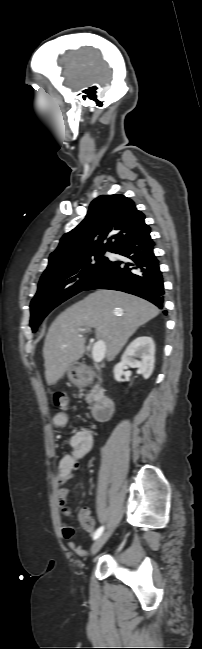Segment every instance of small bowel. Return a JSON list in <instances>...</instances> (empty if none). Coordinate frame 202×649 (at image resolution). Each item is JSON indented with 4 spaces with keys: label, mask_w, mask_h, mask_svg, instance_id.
I'll return each instance as SVG.
<instances>
[{
    "label": "small bowel",
    "mask_w": 202,
    "mask_h": 649,
    "mask_svg": "<svg viewBox=\"0 0 202 649\" xmlns=\"http://www.w3.org/2000/svg\"><path fill=\"white\" fill-rule=\"evenodd\" d=\"M53 426L61 429L69 424V416L65 412H58L53 417ZM93 446V435L88 430L77 431L69 440V450L60 460L58 465L57 482L60 486L65 485L69 480L75 477L79 470L80 462L91 451ZM69 490L61 487L58 490L57 498L60 512L65 517H70L71 509L68 505ZM79 521L82 528L90 535L95 534V521L91 516V510L88 507L82 508L79 512ZM62 536L68 540V547L75 551L80 557H86L88 551L72 540L75 535L74 528L64 522L61 526Z\"/></svg>",
    "instance_id": "small-bowel-1"
}]
</instances>
